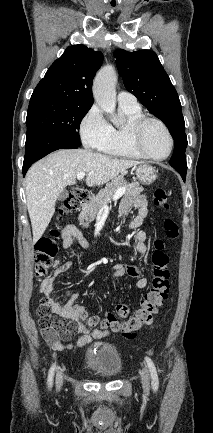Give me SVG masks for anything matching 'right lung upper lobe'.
I'll return each instance as SVG.
<instances>
[{
  "mask_svg": "<svg viewBox=\"0 0 213 433\" xmlns=\"http://www.w3.org/2000/svg\"><path fill=\"white\" fill-rule=\"evenodd\" d=\"M103 62L100 51L84 45L66 48L36 86L31 99H54L92 105L93 78Z\"/></svg>",
  "mask_w": 213,
  "mask_h": 433,
  "instance_id": "right-lung-upper-lobe-1",
  "label": "right lung upper lobe"
}]
</instances>
